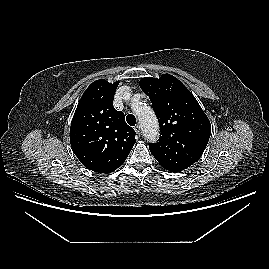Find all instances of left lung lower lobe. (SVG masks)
Instances as JSON below:
<instances>
[{
    "label": "left lung lower lobe",
    "mask_w": 269,
    "mask_h": 269,
    "mask_svg": "<svg viewBox=\"0 0 269 269\" xmlns=\"http://www.w3.org/2000/svg\"><path fill=\"white\" fill-rule=\"evenodd\" d=\"M169 171H171V170H169ZM171 172H178V171H171Z\"/></svg>",
    "instance_id": "0a47b994"
}]
</instances>
